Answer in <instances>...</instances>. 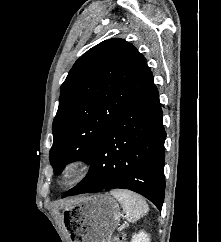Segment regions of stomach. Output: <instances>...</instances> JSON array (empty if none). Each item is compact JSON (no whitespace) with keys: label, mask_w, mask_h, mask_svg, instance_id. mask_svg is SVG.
Segmentation results:
<instances>
[{"label":"stomach","mask_w":221,"mask_h":242,"mask_svg":"<svg viewBox=\"0 0 221 242\" xmlns=\"http://www.w3.org/2000/svg\"><path fill=\"white\" fill-rule=\"evenodd\" d=\"M66 210L71 242H109L121 215L118 202L107 193L78 197Z\"/></svg>","instance_id":"0dacf381"}]
</instances>
